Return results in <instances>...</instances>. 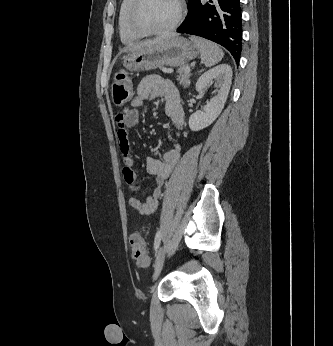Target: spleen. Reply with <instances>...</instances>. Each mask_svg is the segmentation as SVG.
I'll return each instance as SVG.
<instances>
[{
    "instance_id": "obj_1",
    "label": "spleen",
    "mask_w": 333,
    "mask_h": 346,
    "mask_svg": "<svg viewBox=\"0 0 333 346\" xmlns=\"http://www.w3.org/2000/svg\"><path fill=\"white\" fill-rule=\"evenodd\" d=\"M190 39L198 46L201 53V61L205 66L211 67L223 58L224 53L222 49L215 43L196 36H191Z\"/></svg>"
}]
</instances>
